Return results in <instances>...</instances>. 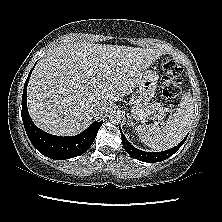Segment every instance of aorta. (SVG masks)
I'll return each mask as SVG.
<instances>
[{"mask_svg": "<svg viewBox=\"0 0 222 222\" xmlns=\"http://www.w3.org/2000/svg\"><path fill=\"white\" fill-rule=\"evenodd\" d=\"M109 119L112 124H119L122 121V115H121V113H119L117 111H113L110 114Z\"/></svg>", "mask_w": 222, "mask_h": 222, "instance_id": "1", "label": "aorta"}]
</instances>
